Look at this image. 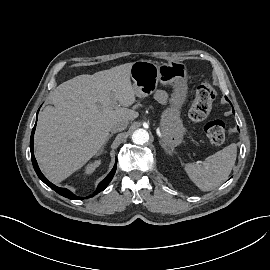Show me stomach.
<instances>
[{
    "label": "stomach",
    "mask_w": 270,
    "mask_h": 270,
    "mask_svg": "<svg viewBox=\"0 0 270 270\" xmlns=\"http://www.w3.org/2000/svg\"><path fill=\"white\" fill-rule=\"evenodd\" d=\"M130 76L136 96L140 98L152 94L159 82L174 87L171 105L163 112L160 121L161 144L165 149L173 150L182 142L184 134L179 109L187 94L186 65L179 61L157 65L152 61L138 60L132 64Z\"/></svg>",
    "instance_id": "stomach-1"
}]
</instances>
